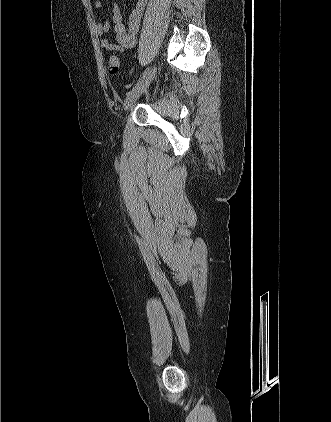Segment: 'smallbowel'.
Listing matches in <instances>:
<instances>
[{
    "instance_id": "c3829d8e",
    "label": "small bowel",
    "mask_w": 331,
    "mask_h": 422,
    "mask_svg": "<svg viewBox=\"0 0 331 422\" xmlns=\"http://www.w3.org/2000/svg\"><path fill=\"white\" fill-rule=\"evenodd\" d=\"M148 0H137L135 8L132 10L128 25L125 27L120 7L117 4L113 5L112 16L104 22H99L96 25V33L98 35H105L110 30V24L113 23L112 34L115 37L116 44L112 43L110 38H105L101 41V47L107 52L115 55L126 51L136 44V35L140 26V22L147 5ZM94 6L97 9L102 7L101 0H95Z\"/></svg>"
}]
</instances>
